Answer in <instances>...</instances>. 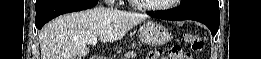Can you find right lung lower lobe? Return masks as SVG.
Instances as JSON below:
<instances>
[{
  "mask_svg": "<svg viewBox=\"0 0 261 59\" xmlns=\"http://www.w3.org/2000/svg\"><path fill=\"white\" fill-rule=\"evenodd\" d=\"M98 0H45L36 8L35 25L41 29L51 19L65 13L92 8Z\"/></svg>",
  "mask_w": 261,
  "mask_h": 59,
  "instance_id": "98d812e1",
  "label": "right lung lower lobe"
}]
</instances>
